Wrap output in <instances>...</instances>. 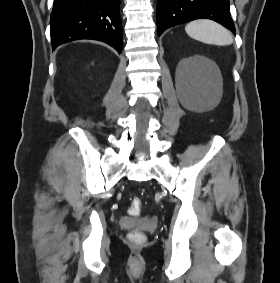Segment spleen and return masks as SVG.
Returning a JSON list of instances; mask_svg holds the SVG:
<instances>
[{
  "instance_id": "1",
  "label": "spleen",
  "mask_w": 280,
  "mask_h": 283,
  "mask_svg": "<svg viewBox=\"0 0 280 283\" xmlns=\"http://www.w3.org/2000/svg\"><path fill=\"white\" fill-rule=\"evenodd\" d=\"M185 31L191 38L207 44L228 46L233 43V37L227 29L208 19L191 21Z\"/></svg>"
}]
</instances>
